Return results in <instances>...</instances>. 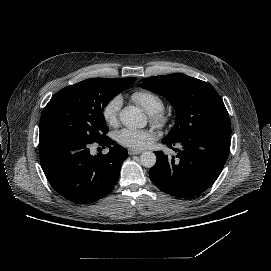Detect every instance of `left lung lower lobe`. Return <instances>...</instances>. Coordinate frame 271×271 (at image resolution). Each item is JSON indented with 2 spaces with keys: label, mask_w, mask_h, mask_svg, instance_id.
I'll return each instance as SVG.
<instances>
[{
  "label": "left lung lower lobe",
  "mask_w": 271,
  "mask_h": 271,
  "mask_svg": "<svg viewBox=\"0 0 271 271\" xmlns=\"http://www.w3.org/2000/svg\"><path fill=\"white\" fill-rule=\"evenodd\" d=\"M231 134L203 131L179 141L162 140L168 146L182 145L176 157L156 152L149 176L161 191L175 197H193L207 190L220 175L230 150ZM177 151V149L175 150Z\"/></svg>",
  "instance_id": "left-lung-lower-lobe-1"
}]
</instances>
